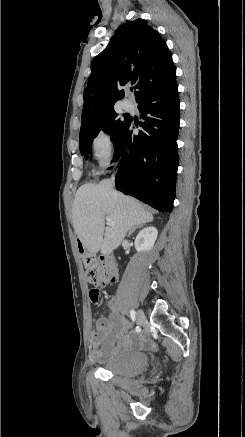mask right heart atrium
Listing matches in <instances>:
<instances>
[{"mask_svg":"<svg viewBox=\"0 0 245 437\" xmlns=\"http://www.w3.org/2000/svg\"><path fill=\"white\" fill-rule=\"evenodd\" d=\"M93 157L99 168H106L112 161L115 143L111 132L107 128H100L91 140Z\"/></svg>","mask_w":245,"mask_h":437,"instance_id":"right-heart-atrium-1","label":"right heart atrium"}]
</instances>
